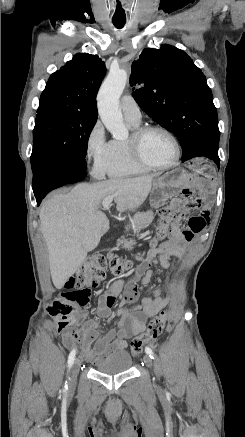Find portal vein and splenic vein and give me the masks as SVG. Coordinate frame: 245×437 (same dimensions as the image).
<instances>
[{
    "label": "portal vein and splenic vein",
    "instance_id": "portal-vein-and-splenic-vein-1",
    "mask_svg": "<svg viewBox=\"0 0 245 437\" xmlns=\"http://www.w3.org/2000/svg\"><path fill=\"white\" fill-rule=\"evenodd\" d=\"M112 201H113V196L106 197L102 202L103 209L109 210Z\"/></svg>",
    "mask_w": 245,
    "mask_h": 437
}]
</instances>
